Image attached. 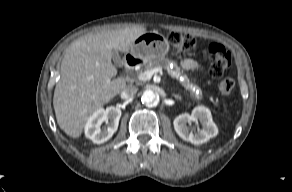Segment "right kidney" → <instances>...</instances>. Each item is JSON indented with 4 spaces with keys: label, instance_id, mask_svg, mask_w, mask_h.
Segmentation results:
<instances>
[{
    "label": "right kidney",
    "instance_id": "1",
    "mask_svg": "<svg viewBox=\"0 0 292 192\" xmlns=\"http://www.w3.org/2000/svg\"><path fill=\"white\" fill-rule=\"evenodd\" d=\"M121 110L117 107L110 106L106 110L98 109L88 119L85 126V135L95 144H101L109 140L117 131ZM103 122H106L107 127L101 129Z\"/></svg>",
    "mask_w": 292,
    "mask_h": 192
}]
</instances>
